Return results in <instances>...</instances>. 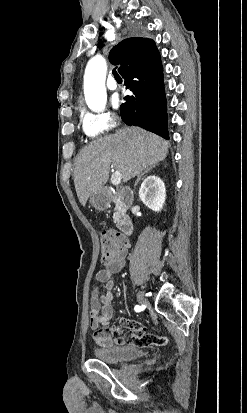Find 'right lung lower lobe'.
I'll return each instance as SVG.
<instances>
[{
  "label": "right lung lower lobe",
  "instance_id": "obj_1",
  "mask_svg": "<svg viewBox=\"0 0 247 413\" xmlns=\"http://www.w3.org/2000/svg\"><path fill=\"white\" fill-rule=\"evenodd\" d=\"M125 85L132 94L120 107L122 120L169 139L161 63L147 72L125 77Z\"/></svg>",
  "mask_w": 247,
  "mask_h": 413
}]
</instances>
